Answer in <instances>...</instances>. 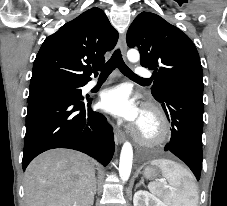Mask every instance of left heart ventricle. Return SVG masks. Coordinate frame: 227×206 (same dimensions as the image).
<instances>
[{"label": "left heart ventricle", "instance_id": "1", "mask_svg": "<svg viewBox=\"0 0 227 206\" xmlns=\"http://www.w3.org/2000/svg\"><path fill=\"white\" fill-rule=\"evenodd\" d=\"M139 125L142 132L147 135L151 134L154 130L152 121L145 116H142Z\"/></svg>", "mask_w": 227, "mask_h": 206}]
</instances>
